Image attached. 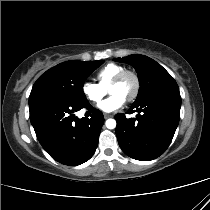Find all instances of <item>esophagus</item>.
<instances>
[{
  "mask_svg": "<svg viewBox=\"0 0 210 210\" xmlns=\"http://www.w3.org/2000/svg\"><path fill=\"white\" fill-rule=\"evenodd\" d=\"M110 117H112L111 114H107V113L104 114V118H105V119H108V118H110Z\"/></svg>",
  "mask_w": 210,
  "mask_h": 210,
  "instance_id": "esophagus-1",
  "label": "esophagus"
}]
</instances>
